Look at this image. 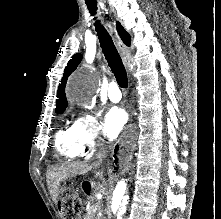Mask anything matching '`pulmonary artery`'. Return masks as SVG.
<instances>
[{"instance_id": "e3ab8cb5", "label": "pulmonary artery", "mask_w": 221, "mask_h": 219, "mask_svg": "<svg viewBox=\"0 0 221 219\" xmlns=\"http://www.w3.org/2000/svg\"><path fill=\"white\" fill-rule=\"evenodd\" d=\"M108 98L112 102H119L122 98L121 91L119 89V86L116 82H111L108 87Z\"/></svg>"}]
</instances>
